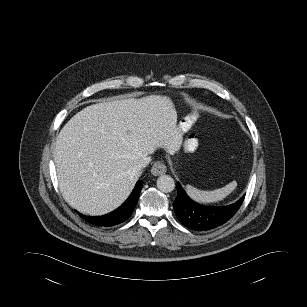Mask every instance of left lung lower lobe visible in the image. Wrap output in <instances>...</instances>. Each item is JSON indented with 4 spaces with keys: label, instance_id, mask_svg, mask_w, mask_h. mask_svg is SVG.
Segmentation results:
<instances>
[{
    "label": "left lung lower lobe",
    "instance_id": "0a47b994",
    "mask_svg": "<svg viewBox=\"0 0 307 307\" xmlns=\"http://www.w3.org/2000/svg\"><path fill=\"white\" fill-rule=\"evenodd\" d=\"M245 195L227 206H204L192 201L177 185V198L173 203L178 220L187 228L195 231H206L226 223L240 208Z\"/></svg>",
    "mask_w": 307,
    "mask_h": 307
}]
</instances>
